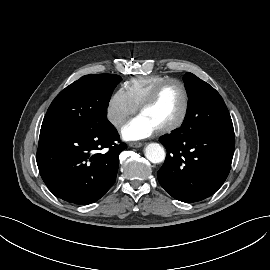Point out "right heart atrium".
I'll return each instance as SVG.
<instances>
[{
  "mask_svg": "<svg viewBox=\"0 0 270 270\" xmlns=\"http://www.w3.org/2000/svg\"><path fill=\"white\" fill-rule=\"evenodd\" d=\"M136 111L137 107L132 103L125 90L117 89L107 101L106 118L114 128L120 129Z\"/></svg>",
  "mask_w": 270,
  "mask_h": 270,
  "instance_id": "d8ad5b80",
  "label": "right heart atrium"
}]
</instances>
